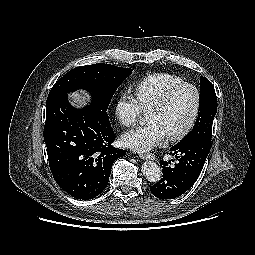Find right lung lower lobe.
<instances>
[{
    "label": "right lung lower lobe",
    "mask_w": 255,
    "mask_h": 255,
    "mask_svg": "<svg viewBox=\"0 0 255 255\" xmlns=\"http://www.w3.org/2000/svg\"><path fill=\"white\" fill-rule=\"evenodd\" d=\"M114 139L110 122L89 106L76 109L67 95L46 104L49 166L57 184L74 198L92 199L105 189L113 162L126 154L111 145Z\"/></svg>",
    "instance_id": "right-lung-lower-lobe-1"
}]
</instances>
